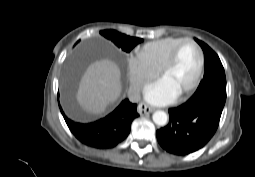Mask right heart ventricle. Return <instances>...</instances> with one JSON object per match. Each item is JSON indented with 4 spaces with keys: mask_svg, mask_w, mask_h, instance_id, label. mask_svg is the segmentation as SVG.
<instances>
[{
    "mask_svg": "<svg viewBox=\"0 0 255 177\" xmlns=\"http://www.w3.org/2000/svg\"><path fill=\"white\" fill-rule=\"evenodd\" d=\"M184 40L181 37H167L145 44L138 52L148 64L160 70L173 49Z\"/></svg>",
    "mask_w": 255,
    "mask_h": 177,
    "instance_id": "obj_1",
    "label": "right heart ventricle"
}]
</instances>
